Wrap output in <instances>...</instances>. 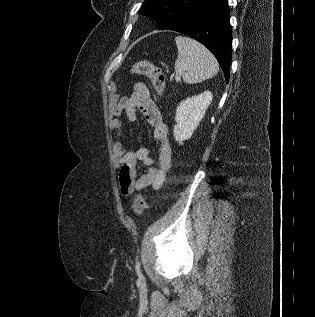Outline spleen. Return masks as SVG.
<instances>
[{
  "label": "spleen",
  "mask_w": 315,
  "mask_h": 317,
  "mask_svg": "<svg viewBox=\"0 0 315 317\" xmlns=\"http://www.w3.org/2000/svg\"><path fill=\"white\" fill-rule=\"evenodd\" d=\"M175 42L178 49L175 71L185 83H200L218 73V62L201 43L183 36H177Z\"/></svg>",
  "instance_id": "1"
}]
</instances>
